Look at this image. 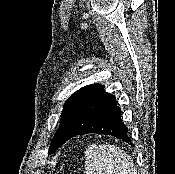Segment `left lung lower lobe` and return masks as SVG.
<instances>
[{"instance_id":"1","label":"left lung lower lobe","mask_w":175,"mask_h":174,"mask_svg":"<svg viewBox=\"0 0 175 174\" xmlns=\"http://www.w3.org/2000/svg\"><path fill=\"white\" fill-rule=\"evenodd\" d=\"M127 131L116 97L106 93L104 85H98L76 105L66 126L63 143L77 135L98 133L112 135L132 145Z\"/></svg>"}]
</instances>
